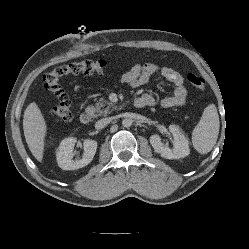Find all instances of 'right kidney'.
I'll use <instances>...</instances> for the list:
<instances>
[{
    "label": "right kidney",
    "instance_id": "ca27d5eb",
    "mask_svg": "<svg viewBox=\"0 0 249 249\" xmlns=\"http://www.w3.org/2000/svg\"><path fill=\"white\" fill-rule=\"evenodd\" d=\"M77 139L68 137L60 143L56 153L58 166L63 170H75L88 165L92 160L97 150V142L86 139L83 142L84 154L80 160H73V149Z\"/></svg>",
    "mask_w": 249,
    "mask_h": 249
}]
</instances>
